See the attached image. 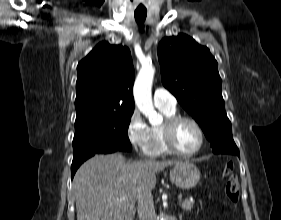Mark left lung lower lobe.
<instances>
[{"mask_svg":"<svg viewBox=\"0 0 281 220\" xmlns=\"http://www.w3.org/2000/svg\"><path fill=\"white\" fill-rule=\"evenodd\" d=\"M234 155H237L238 157H240L239 150L235 151Z\"/></svg>","mask_w":281,"mask_h":220,"instance_id":"obj_1","label":"left lung lower lobe"}]
</instances>
